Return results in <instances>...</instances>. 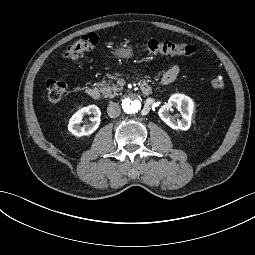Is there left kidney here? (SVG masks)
<instances>
[{"label":"left kidney","instance_id":"left-kidney-1","mask_svg":"<svg viewBox=\"0 0 255 255\" xmlns=\"http://www.w3.org/2000/svg\"><path fill=\"white\" fill-rule=\"evenodd\" d=\"M176 107L181 112V117L172 116L170 112ZM193 113V102L189 97L175 94L170 97L168 103L163 105L158 115L170 128L174 130L186 131L191 126V118Z\"/></svg>","mask_w":255,"mask_h":255}]
</instances>
